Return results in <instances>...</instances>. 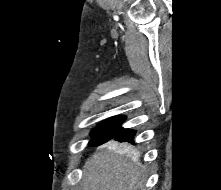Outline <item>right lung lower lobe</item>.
Returning <instances> with one entry per match:
<instances>
[{
	"instance_id": "right-lung-lower-lobe-1",
	"label": "right lung lower lobe",
	"mask_w": 221,
	"mask_h": 190,
	"mask_svg": "<svg viewBox=\"0 0 221 190\" xmlns=\"http://www.w3.org/2000/svg\"><path fill=\"white\" fill-rule=\"evenodd\" d=\"M135 134H136L135 130L123 129L113 139L119 142H129V143L135 144L133 140V137Z\"/></svg>"
}]
</instances>
